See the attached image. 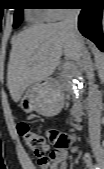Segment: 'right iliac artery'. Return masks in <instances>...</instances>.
<instances>
[{
	"label": "right iliac artery",
	"instance_id": "1",
	"mask_svg": "<svg viewBox=\"0 0 104 169\" xmlns=\"http://www.w3.org/2000/svg\"><path fill=\"white\" fill-rule=\"evenodd\" d=\"M94 169H100V167H98L97 165H94Z\"/></svg>",
	"mask_w": 104,
	"mask_h": 169
}]
</instances>
